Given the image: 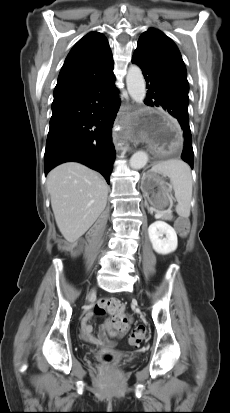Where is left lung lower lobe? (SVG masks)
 Masks as SVG:
<instances>
[{
	"label": "left lung lower lobe",
	"instance_id": "0a47b994",
	"mask_svg": "<svg viewBox=\"0 0 230 413\" xmlns=\"http://www.w3.org/2000/svg\"><path fill=\"white\" fill-rule=\"evenodd\" d=\"M132 63L140 66L143 71L148 95L145 104L160 106L172 115L180 124L184 139L181 158L193 168V148L188 117V96L176 88L170 80L150 64L133 57Z\"/></svg>",
	"mask_w": 230,
	"mask_h": 413
}]
</instances>
